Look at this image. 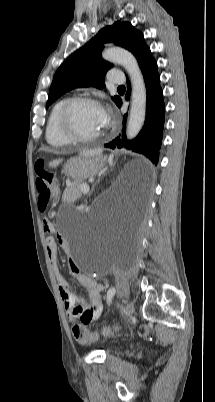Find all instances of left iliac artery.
I'll return each instance as SVG.
<instances>
[{
    "mask_svg": "<svg viewBox=\"0 0 215 402\" xmlns=\"http://www.w3.org/2000/svg\"><path fill=\"white\" fill-rule=\"evenodd\" d=\"M115 292H116V290H115L114 287H111V288L108 290V292H107V303H108V305L111 303L112 298H113L114 295H115Z\"/></svg>",
    "mask_w": 215,
    "mask_h": 402,
    "instance_id": "left-iliac-artery-1",
    "label": "left iliac artery"
}]
</instances>
